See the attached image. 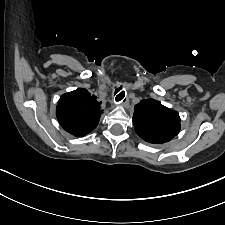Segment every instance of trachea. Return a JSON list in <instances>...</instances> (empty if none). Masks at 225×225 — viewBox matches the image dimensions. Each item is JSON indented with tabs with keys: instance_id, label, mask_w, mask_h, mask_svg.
<instances>
[{
	"instance_id": "1",
	"label": "trachea",
	"mask_w": 225,
	"mask_h": 225,
	"mask_svg": "<svg viewBox=\"0 0 225 225\" xmlns=\"http://www.w3.org/2000/svg\"><path fill=\"white\" fill-rule=\"evenodd\" d=\"M117 92H119V94H117V96H116V101L118 102V101H121L124 98L125 92L124 91H120L119 89L117 90Z\"/></svg>"
}]
</instances>
